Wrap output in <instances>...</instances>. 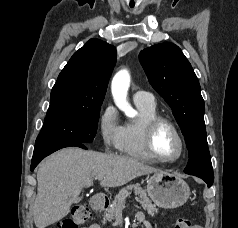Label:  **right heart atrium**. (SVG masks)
<instances>
[{
    "label": "right heart atrium",
    "mask_w": 238,
    "mask_h": 228,
    "mask_svg": "<svg viewBox=\"0 0 238 228\" xmlns=\"http://www.w3.org/2000/svg\"><path fill=\"white\" fill-rule=\"evenodd\" d=\"M98 127L104 148L108 151L118 149L122 125L114 106L107 105L103 109L99 117Z\"/></svg>",
    "instance_id": "1"
}]
</instances>
